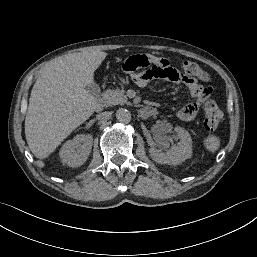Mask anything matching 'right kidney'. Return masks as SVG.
<instances>
[{
	"label": "right kidney",
	"instance_id": "1",
	"mask_svg": "<svg viewBox=\"0 0 257 257\" xmlns=\"http://www.w3.org/2000/svg\"><path fill=\"white\" fill-rule=\"evenodd\" d=\"M93 144L91 135H77L67 141L60 149L59 156L62 163L70 167L81 166L88 158Z\"/></svg>",
	"mask_w": 257,
	"mask_h": 257
}]
</instances>
